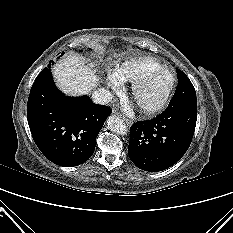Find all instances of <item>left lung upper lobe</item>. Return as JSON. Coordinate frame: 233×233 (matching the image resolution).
<instances>
[{"mask_svg": "<svg viewBox=\"0 0 233 233\" xmlns=\"http://www.w3.org/2000/svg\"><path fill=\"white\" fill-rule=\"evenodd\" d=\"M178 87L168 107L184 108L197 106L196 92L190 79L181 70L177 69Z\"/></svg>", "mask_w": 233, "mask_h": 233, "instance_id": "obj_1", "label": "left lung upper lobe"}]
</instances>
